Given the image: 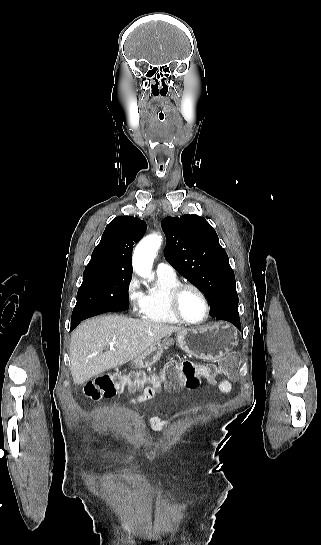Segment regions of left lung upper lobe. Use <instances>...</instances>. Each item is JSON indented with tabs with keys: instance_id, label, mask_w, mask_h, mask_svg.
<instances>
[{
	"instance_id": "obj_1",
	"label": "left lung upper lobe",
	"mask_w": 321,
	"mask_h": 545,
	"mask_svg": "<svg viewBox=\"0 0 321 545\" xmlns=\"http://www.w3.org/2000/svg\"><path fill=\"white\" fill-rule=\"evenodd\" d=\"M166 260L209 300L210 311L238 304L235 276L215 230L194 214L166 217Z\"/></svg>"
}]
</instances>
